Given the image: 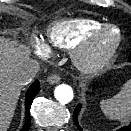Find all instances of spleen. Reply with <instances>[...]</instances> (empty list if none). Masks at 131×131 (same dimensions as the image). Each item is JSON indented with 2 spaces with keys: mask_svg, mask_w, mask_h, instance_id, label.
Masks as SVG:
<instances>
[{
  "mask_svg": "<svg viewBox=\"0 0 131 131\" xmlns=\"http://www.w3.org/2000/svg\"><path fill=\"white\" fill-rule=\"evenodd\" d=\"M100 107L105 116L121 120L131 115V79L112 98L103 99Z\"/></svg>",
  "mask_w": 131,
  "mask_h": 131,
  "instance_id": "obj_1",
  "label": "spleen"
}]
</instances>
